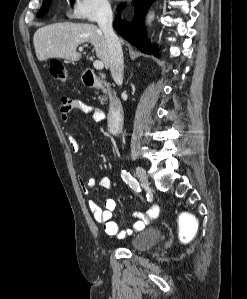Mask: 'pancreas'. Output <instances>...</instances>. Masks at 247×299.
Masks as SVG:
<instances>
[{
    "instance_id": "cf45deb5",
    "label": "pancreas",
    "mask_w": 247,
    "mask_h": 299,
    "mask_svg": "<svg viewBox=\"0 0 247 299\" xmlns=\"http://www.w3.org/2000/svg\"><path fill=\"white\" fill-rule=\"evenodd\" d=\"M105 86H106L107 88H106V89H103V93L106 94V95H108L109 97H112V95H113V91L111 90V88L109 87L108 84H106ZM99 99H100L101 103H104V101L107 99V97H106V96H104V97H101V96H100Z\"/></svg>"
}]
</instances>
